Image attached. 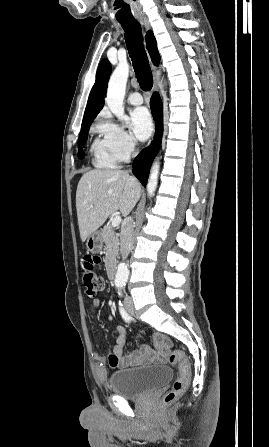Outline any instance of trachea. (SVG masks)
<instances>
[{
    "instance_id": "3493384b",
    "label": "trachea",
    "mask_w": 269,
    "mask_h": 447,
    "mask_svg": "<svg viewBox=\"0 0 269 447\" xmlns=\"http://www.w3.org/2000/svg\"><path fill=\"white\" fill-rule=\"evenodd\" d=\"M119 23L125 31L126 45L133 63L137 81L142 90H151L153 77L143 45L141 25L137 20Z\"/></svg>"
}]
</instances>
